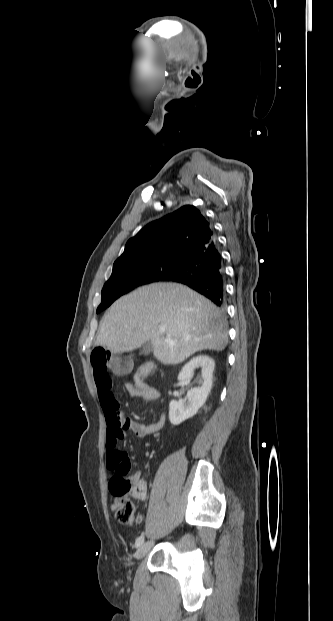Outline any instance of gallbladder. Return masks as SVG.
I'll return each instance as SVG.
<instances>
[{
  "label": "gallbladder",
  "mask_w": 333,
  "mask_h": 621,
  "mask_svg": "<svg viewBox=\"0 0 333 621\" xmlns=\"http://www.w3.org/2000/svg\"><path fill=\"white\" fill-rule=\"evenodd\" d=\"M153 351L151 342H145L140 348V354L148 355Z\"/></svg>",
  "instance_id": "obj_1"
}]
</instances>
